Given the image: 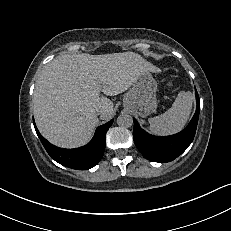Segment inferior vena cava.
Here are the masks:
<instances>
[{"instance_id": "1", "label": "inferior vena cava", "mask_w": 231, "mask_h": 231, "mask_svg": "<svg viewBox=\"0 0 231 231\" xmlns=\"http://www.w3.org/2000/svg\"><path fill=\"white\" fill-rule=\"evenodd\" d=\"M101 113H103V110H102V109L97 110V114H98V115L101 114Z\"/></svg>"}]
</instances>
